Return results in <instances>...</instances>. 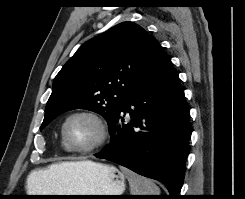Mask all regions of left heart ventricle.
<instances>
[{
  "instance_id": "obj_1",
  "label": "left heart ventricle",
  "mask_w": 245,
  "mask_h": 199,
  "mask_svg": "<svg viewBox=\"0 0 245 199\" xmlns=\"http://www.w3.org/2000/svg\"><path fill=\"white\" fill-rule=\"evenodd\" d=\"M70 142L76 147H87L96 142L99 136L98 126L87 117H75L67 126Z\"/></svg>"
}]
</instances>
